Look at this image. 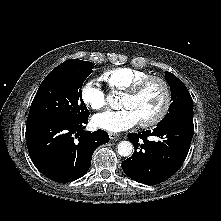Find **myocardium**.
Wrapping results in <instances>:
<instances>
[{
  "label": "myocardium",
  "instance_id": "obj_1",
  "mask_svg": "<svg viewBox=\"0 0 221 221\" xmlns=\"http://www.w3.org/2000/svg\"><path fill=\"white\" fill-rule=\"evenodd\" d=\"M154 81L159 82L164 89V102L161 109L154 117L145 121H139L140 126L144 128L156 126L166 117L172 101V91L169 83L163 77L149 75L136 82L129 90L124 92L125 96L132 98L137 97L149 83Z\"/></svg>",
  "mask_w": 221,
  "mask_h": 221
}]
</instances>
